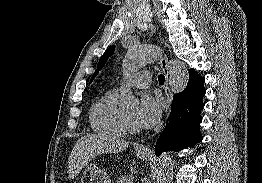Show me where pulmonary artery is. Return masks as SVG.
<instances>
[{"label": "pulmonary artery", "instance_id": "obj_1", "mask_svg": "<svg viewBox=\"0 0 262 183\" xmlns=\"http://www.w3.org/2000/svg\"><path fill=\"white\" fill-rule=\"evenodd\" d=\"M151 84V74L148 71H141L130 77L128 85L136 88H146Z\"/></svg>", "mask_w": 262, "mask_h": 183}]
</instances>
